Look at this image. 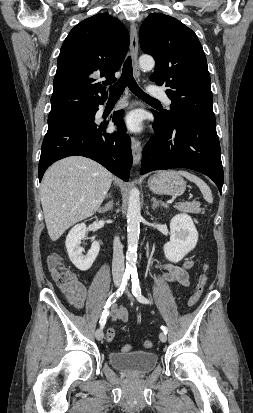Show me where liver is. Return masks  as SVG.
I'll list each match as a JSON object with an SVG mask.
<instances>
[{"instance_id": "1", "label": "liver", "mask_w": 253, "mask_h": 413, "mask_svg": "<svg viewBox=\"0 0 253 413\" xmlns=\"http://www.w3.org/2000/svg\"><path fill=\"white\" fill-rule=\"evenodd\" d=\"M113 175L99 163L82 156L64 158L45 172L40 197L52 241L75 223L91 217L101 206Z\"/></svg>"}]
</instances>
